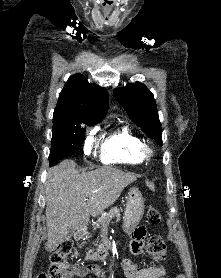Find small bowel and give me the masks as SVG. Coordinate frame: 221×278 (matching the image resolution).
<instances>
[{"label":"small bowel","instance_id":"obj_1","mask_svg":"<svg viewBox=\"0 0 221 278\" xmlns=\"http://www.w3.org/2000/svg\"><path fill=\"white\" fill-rule=\"evenodd\" d=\"M144 230L135 229L131 242V251L134 254H140L144 247ZM120 268L126 278H163L166 274V268L163 265L149 269H139L134 263L129 260H124L120 264ZM89 273H94L99 278H105L102 270L97 266H76L72 269L68 278H83ZM175 278H183L182 275H177Z\"/></svg>","mask_w":221,"mask_h":278}]
</instances>
